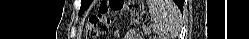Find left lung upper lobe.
Segmentation results:
<instances>
[{
  "instance_id": "5c2ea615",
  "label": "left lung upper lobe",
  "mask_w": 249,
  "mask_h": 39,
  "mask_svg": "<svg viewBox=\"0 0 249 39\" xmlns=\"http://www.w3.org/2000/svg\"><path fill=\"white\" fill-rule=\"evenodd\" d=\"M90 3H91V0H82L80 12L81 13L84 12Z\"/></svg>"
}]
</instances>
